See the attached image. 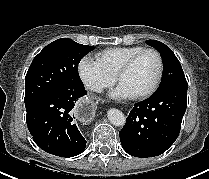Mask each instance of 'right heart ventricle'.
Wrapping results in <instances>:
<instances>
[{
    "mask_svg": "<svg viewBox=\"0 0 209 179\" xmlns=\"http://www.w3.org/2000/svg\"><path fill=\"white\" fill-rule=\"evenodd\" d=\"M144 49L143 46L110 47L98 52L96 62L111 77H114L122 64L135 53Z\"/></svg>",
    "mask_w": 209,
    "mask_h": 179,
    "instance_id": "obj_1",
    "label": "right heart ventricle"
}]
</instances>
